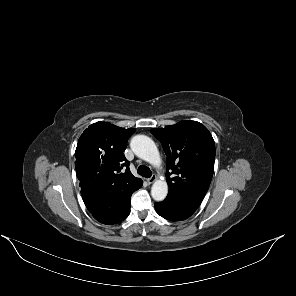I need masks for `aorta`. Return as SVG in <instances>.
Listing matches in <instances>:
<instances>
[{
    "label": "aorta",
    "instance_id": "762f6f07",
    "mask_svg": "<svg viewBox=\"0 0 296 296\" xmlns=\"http://www.w3.org/2000/svg\"><path fill=\"white\" fill-rule=\"evenodd\" d=\"M131 149L136 156L149 162L155 167L161 165V157L154 141L146 135H136L130 143ZM168 194V185L166 181L157 180L151 188V195L155 201H163Z\"/></svg>",
    "mask_w": 296,
    "mask_h": 296
}]
</instances>
